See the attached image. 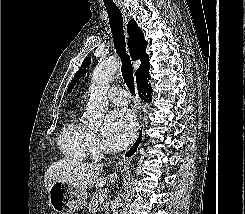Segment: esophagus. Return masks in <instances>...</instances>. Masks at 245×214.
Returning <instances> with one entry per match:
<instances>
[{"instance_id": "obj_1", "label": "esophagus", "mask_w": 245, "mask_h": 214, "mask_svg": "<svg viewBox=\"0 0 245 214\" xmlns=\"http://www.w3.org/2000/svg\"><path fill=\"white\" fill-rule=\"evenodd\" d=\"M118 7L123 15L124 23L127 24L130 18L128 10L123 4H118ZM144 134L145 133H144L143 117H140V125L137 129L136 136L133 142L131 143V145L128 147V149L122 154L120 158L121 162H128L136 155L144 139Z\"/></svg>"}]
</instances>
